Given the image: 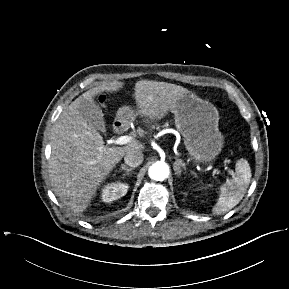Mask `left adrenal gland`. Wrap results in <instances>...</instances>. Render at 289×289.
Returning <instances> with one entry per match:
<instances>
[{"mask_svg":"<svg viewBox=\"0 0 289 289\" xmlns=\"http://www.w3.org/2000/svg\"><path fill=\"white\" fill-rule=\"evenodd\" d=\"M181 168L185 169V164L183 163V161L181 159H176V161L173 164V169L175 171V174L181 175Z\"/></svg>","mask_w":289,"mask_h":289,"instance_id":"1","label":"left adrenal gland"}]
</instances>
